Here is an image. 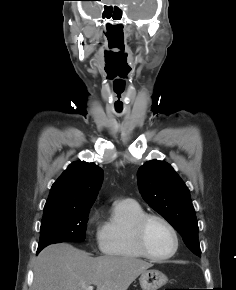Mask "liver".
<instances>
[{"mask_svg":"<svg viewBox=\"0 0 236 290\" xmlns=\"http://www.w3.org/2000/svg\"><path fill=\"white\" fill-rule=\"evenodd\" d=\"M151 263L116 256L91 257L67 243L44 248L34 264L31 290H127Z\"/></svg>","mask_w":236,"mask_h":290,"instance_id":"obj_1","label":"liver"}]
</instances>
